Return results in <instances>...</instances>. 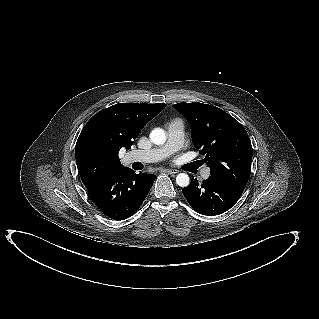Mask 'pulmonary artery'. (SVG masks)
Returning <instances> with one entry per match:
<instances>
[{"instance_id": "1", "label": "pulmonary artery", "mask_w": 319, "mask_h": 319, "mask_svg": "<svg viewBox=\"0 0 319 319\" xmlns=\"http://www.w3.org/2000/svg\"><path fill=\"white\" fill-rule=\"evenodd\" d=\"M184 142V125L181 121L175 120L169 123L167 128V141L164 145L149 150H134L128 153L129 161H139L143 163L156 162L162 160L178 151ZM201 176L207 179L210 176L209 168L203 169Z\"/></svg>"}]
</instances>
